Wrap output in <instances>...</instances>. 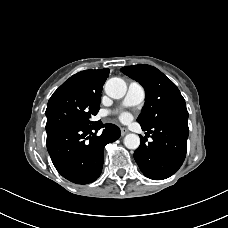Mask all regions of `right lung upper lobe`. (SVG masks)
<instances>
[{
    "label": "right lung upper lobe",
    "instance_id": "1",
    "mask_svg": "<svg viewBox=\"0 0 228 228\" xmlns=\"http://www.w3.org/2000/svg\"><path fill=\"white\" fill-rule=\"evenodd\" d=\"M108 76L109 69L84 70L73 75L66 83L74 85L86 94L101 95L102 86Z\"/></svg>",
    "mask_w": 228,
    "mask_h": 228
}]
</instances>
